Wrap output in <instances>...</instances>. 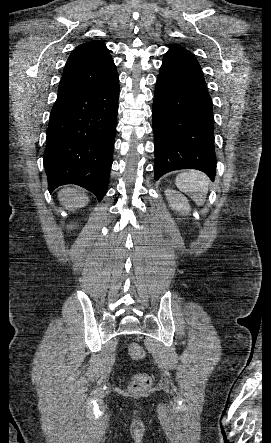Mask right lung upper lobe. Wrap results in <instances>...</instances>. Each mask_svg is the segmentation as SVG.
I'll return each instance as SVG.
<instances>
[{
    "mask_svg": "<svg viewBox=\"0 0 271 443\" xmlns=\"http://www.w3.org/2000/svg\"><path fill=\"white\" fill-rule=\"evenodd\" d=\"M117 78L116 66L105 44L87 42L77 46L70 54L58 93L105 85Z\"/></svg>",
    "mask_w": 271,
    "mask_h": 443,
    "instance_id": "obj_1",
    "label": "right lung upper lobe"
}]
</instances>
